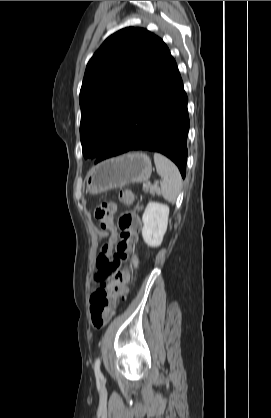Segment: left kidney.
I'll return each mask as SVG.
<instances>
[{
  "mask_svg": "<svg viewBox=\"0 0 271 418\" xmlns=\"http://www.w3.org/2000/svg\"><path fill=\"white\" fill-rule=\"evenodd\" d=\"M169 207L157 202H149L142 216V237L150 247H158L167 230Z\"/></svg>",
  "mask_w": 271,
  "mask_h": 418,
  "instance_id": "5707ae66",
  "label": "left kidney"
}]
</instances>
